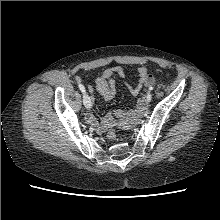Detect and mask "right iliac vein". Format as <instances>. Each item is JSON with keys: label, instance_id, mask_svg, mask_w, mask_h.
<instances>
[{"label": "right iliac vein", "instance_id": "1", "mask_svg": "<svg viewBox=\"0 0 220 220\" xmlns=\"http://www.w3.org/2000/svg\"><path fill=\"white\" fill-rule=\"evenodd\" d=\"M83 103L87 109H90L92 106L91 98L86 94L83 96Z\"/></svg>", "mask_w": 220, "mask_h": 220}]
</instances>
